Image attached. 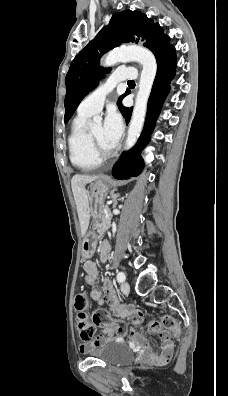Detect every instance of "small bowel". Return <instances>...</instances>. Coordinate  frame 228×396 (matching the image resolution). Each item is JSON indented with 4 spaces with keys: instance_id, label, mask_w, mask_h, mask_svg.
I'll use <instances>...</instances> for the list:
<instances>
[{
    "instance_id": "c3829d8e",
    "label": "small bowel",
    "mask_w": 228,
    "mask_h": 396,
    "mask_svg": "<svg viewBox=\"0 0 228 396\" xmlns=\"http://www.w3.org/2000/svg\"><path fill=\"white\" fill-rule=\"evenodd\" d=\"M101 258L105 256L109 250V245L106 241L101 244ZM85 272V281L90 286L91 290L89 296L92 301L99 305H109L115 317L128 320L130 322L129 337L135 343L150 349V359L153 363L158 365L166 364L173 355L174 343L167 331L160 332L161 347L160 349H152L149 346L148 340L139 328L143 319V312L133 306H123L120 304L117 296L115 295L113 285L109 279H105L103 283V292L98 287V269L96 263L92 260H86L83 265ZM122 339L110 327H102L101 333L93 336L90 340L84 341L79 349L81 352H86L94 347L111 341Z\"/></svg>"
}]
</instances>
